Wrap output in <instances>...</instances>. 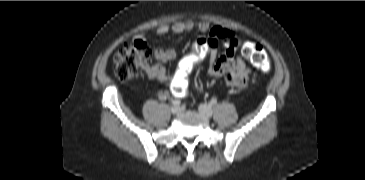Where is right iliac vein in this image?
Returning <instances> with one entry per match:
<instances>
[{
    "label": "right iliac vein",
    "instance_id": "obj_1",
    "mask_svg": "<svg viewBox=\"0 0 365 180\" xmlns=\"http://www.w3.org/2000/svg\"><path fill=\"white\" fill-rule=\"evenodd\" d=\"M180 111H181V108H180V106H179V105H173V106L171 107V112H172L173 114H178V113H180Z\"/></svg>",
    "mask_w": 365,
    "mask_h": 180
}]
</instances>
